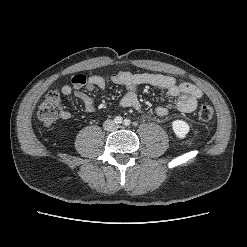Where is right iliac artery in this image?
<instances>
[{"instance_id": "obj_1", "label": "right iliac artery", "mask_w": 247, "mask_h": 247, "mask_svg": "<svg viewBox=\"0 0 247 247\" xmlns=\"http://www.w3.org/2000/svg\"><path fill=\"white\" fill-rule=\"evenodd\" d=\"M114 122L116 124H121L122 123V117H120V116L115 117Z\"/></svg>"}]
</instances>
